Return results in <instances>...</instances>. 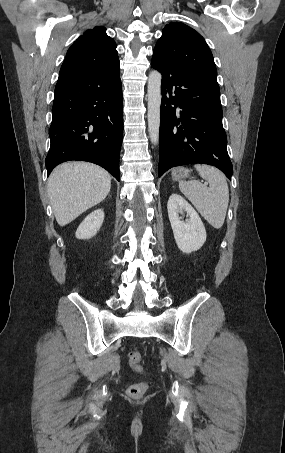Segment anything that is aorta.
<instances>
[{"instance_id": "1", "label": "aorta", "mask_w": 285, "mask_h": 453, "mask_svg": "<svg viewBox=\"0 0 285 453\" xmlns=\"http://www.w3.org/2000/svg\"><path fill=\"white\" fill-rule=\"evenodd\" d=\"M161 74L152 70L148 79V132L152 144L159 142L160 106H161Z\"/></svg>"}]
</instances>
